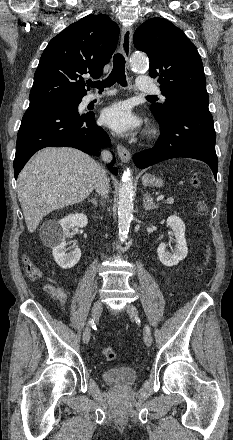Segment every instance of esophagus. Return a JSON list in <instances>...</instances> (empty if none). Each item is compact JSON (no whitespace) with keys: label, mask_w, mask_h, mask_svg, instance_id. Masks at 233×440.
Segmentation results:
<instances>
[{"label":"esophagus","mask_w":233,"mask_h":440,"mask_svg":"<svg viewBox=\"0 0 233 440\" xmlns=\"http://www.w3.org/2000/svg\"><path fill=\"white\" fill-rule=\"evenodd\" d=\"M133 30L131 27H123L121 35L120 50L124 58L126 59V66L129 67V57L131 53ZM117 152L122 162L127 163L131 159V153L124 146L118 145Z\"/></svg>","instance_id":"1"}]
</instances>
